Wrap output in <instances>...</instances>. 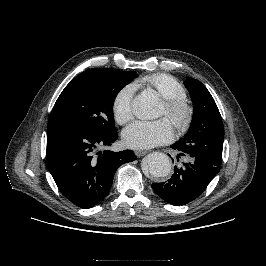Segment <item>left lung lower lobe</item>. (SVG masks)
I'll return each instance as SVG.
<instances>
[{"instance_id": "1", "label": "left lung lower lobe", "mask_w": 266, "mask_h": 266, "mask_svg": "<svg viewBox=\"0 0 266 266\" xmlns=\"http://www.w3.org/2000/svg\"><path fill=\"white\" fill-rule=\"evenodd\" d=\"M171 147L176 149L174 144ZM180 156H186L187 161L180 168L174 167L175 172L171 179L166 183L152 184L154 192L173 205H185L196 199L221 167L199 156L181 152L177 159Z\"/></svg>"}]
</instances>
